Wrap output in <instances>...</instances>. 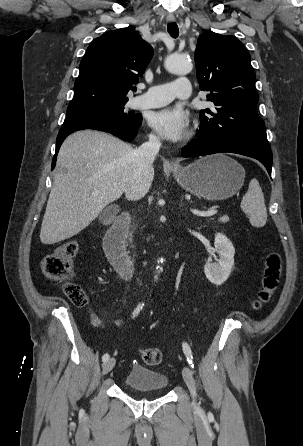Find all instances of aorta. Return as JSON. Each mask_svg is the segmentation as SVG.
<instances>
[{
	"mask_svg": "<svg viewBox=\"0 0 303 446\" xmlns=\"http://www.w3.org/2000/svg\"><path fill=\"white\" fill-rule=\"evenodd\" d=\"M165 68L173 74L183 75L191 70V62L185 57L172 55L166 59ZM159 261L163 263L164 260L161 258ZM157 278L155 276V279Z\"/></svg>",
	"mask_w": 303,
	"mask_h": 446,
	"instance_id": "aorta-1",
	"label": "aorta"
}]
</instances>
